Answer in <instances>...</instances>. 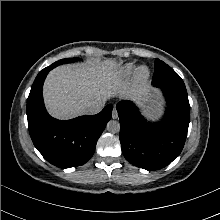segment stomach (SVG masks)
I'll use <instances>...</instances> for the list:
<instances>
[{
	"instance_id": "0dacf381",
	"label": "stomach",
	"mask_w": 220,
	"mask_h": 220,
	"mask_svg": "<svg viewBox=\"0 0 220 220\" xmlns=\"http://www.w3.org/2000/svg\"><path fill=\"white\" fill-rule=\"evenodd\" d=\"M144 110L147 117L157 119L161 114V105L155 99H149L144 105Z\"/></svg>"
}]
</instances>
